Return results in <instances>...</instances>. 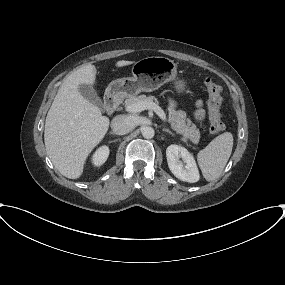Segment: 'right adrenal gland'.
<instances>
[{
    "instance_id": "1",
    "label": "right adrenal gland",
    "mask_w": 285,
    "mask_h": 285,
    "mask_svg": "<svg viewBox=\"0 0 285 285\" xmlns=\"http://www.w3.org/2000/svg\"><path fill=\"white\" fill-rule=\"evenodd\" d=\"M109 135H114V133L113 132H109Z\"/></svg>"
}]
</instances>
